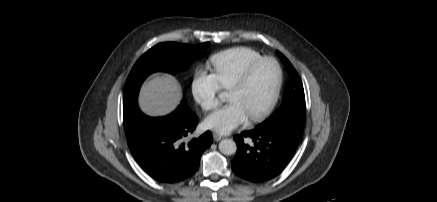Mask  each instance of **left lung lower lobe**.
<instances>
[{
	"mask_svg": "<svg viewBox=\"0 0 437 202\" xmlns=\"http://www.w3.org/2000/svg\"><path fill=\"white\" fill-rule=\"evenodd\" d=\"M299 135L284 127H255L236 136L238 150L232 170L249 182H264L279 175L295 152ZM251 139L248 144L245 139Z\"/></svg>",
	"mask_w": 437,
	"mask_h": 202,
	"instance_id": "obj_1",
	"label": "left lung lower lobe"
}]
</instances>
